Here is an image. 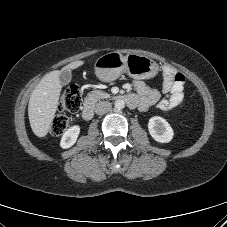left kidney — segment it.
Returning a JSON list of instances; mask_svg holds the SVG:
<instances>
[{
	"label": "left kidney",
	"instance_id": "1",
	"mask_svg": "<svg viewBox=\"0 0 227 227\" xmlns=\"http://www.w3.org/2000/svg\"><path fill=\"white\" fill-rule=\"evenodd\" d=\"M148 130L151 137L160 143H168L174 136L170 124L164 118L159 116H154L149 119Z\"/></svg>",
	"mask_w": 227,
	"mask_h": 227
}]
</instances>
